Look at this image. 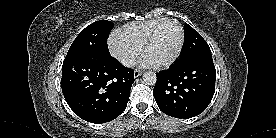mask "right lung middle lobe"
<instances>
[{
	"mask_svg": "<svg viewBox=\"0 0 276 138\" xmlns=\"http://www.w3.org/2000/svg\"><path fill=\"white\" fill-rule=\"evenodd\" d=\"M113 28L111 21H96L82 30L73 41L66 58L81 53L109 55L107 38Z\"/></svg>",
	"mask_w": 276,
	"mask_h": 138,
	"instance_id": "right-lung-middle-lobe-1",
	"label": "right lung middle lobe"
}]
</instances>
